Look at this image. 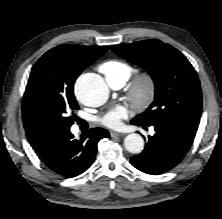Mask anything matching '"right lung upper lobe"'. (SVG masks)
<instances>
[{
    "label": "right lung upper lobe",
    "mask_w": 222,
    "mask_h": 219,
    "mask_svg": "<svg viewBox=\"0 0 222 219\" xmlns=\"http://www.w3.org/2000/svg\"><path fill=\"white\" fill-rule=\"evenodd\" d=\"M108 47H93L83 45H60L48 52H59L65 59L61 72L60 82L64 87L73 89L74 82L79 74L90 64L101 57ZM29 143L41 156H45L56 140L63 135V131L24 122Z\"/></svg>",
    "instance_id": "obj_1"
}]
</instances>
